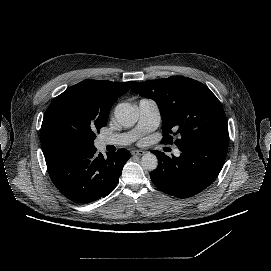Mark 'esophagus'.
I'll list each match as a JSON object with an SVG mask.
<instances>
[{"mask_svg":"<svg viewBox=\"0 0 271 271\" xmlns=\"http://www.w3.org/2000/svg\"><path fill=\"white\" fill-rule=\"evenodd\" d=\"M131 154L132 155H137V156H142V155L145 154V152L142 151V150H133V151H131Z\"/></svg>","mask_w":271,"mask_h":271,"instance_id":"obj_1","label":"esophagus"}]
</instances>
